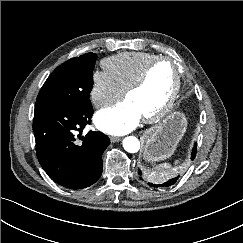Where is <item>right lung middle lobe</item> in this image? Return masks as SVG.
<instances>
[{
	"instance_id": "obj_1",
	"label": "right lung middle lobe",
	"mask_w": 243,
	"mask_h": 243,
	"mask_svg": "<svg viewBox=\"0 0 243 243\" xmlns=\"http://www.w3.org/2000/svg\"><path fill=\"white\" fill-rule=\"evenodd\" d=\"M96 59V54L86 53L58 66L42 86L36 104L48 103L73 110L91 108L89 96Z\"/></svg>"
}]
</instances>
